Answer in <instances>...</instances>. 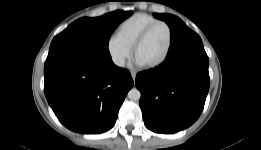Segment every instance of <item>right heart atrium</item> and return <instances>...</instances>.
<instances>
[{
    "instance_id": "obj_1",
    "label": "right heart atrium",
    "mask_w": 261,
    "mask_h": 150,
    "mask_svg": "<svg viewBox=\"0 0 261 150\" xmlns=\"http://www.w3.org/2000/svg\"><path fill=\"white\" fill-rule=\"evenodd\" d=\"M106 50L112 63L119 68L125 66L132 54L131 47L122 42L116 35H111L107 39Z\"/></svg>"
}]
</instances>
